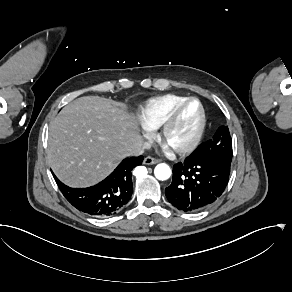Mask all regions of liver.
<instances>
[{
	"instance_id": "liver-1",
	"label": "liver",
	"mask_w": 292,
	"mask_h": 292,
	"mask_svg": "<svg viewBox=\"0 0 292 292\" xmlns=\"http://www.w3.org/2000/svg\"><path fill=\"white\" fill-rule=\"evenodd\" d=\"M140 146L137 124L125 108L87 96L70 103L51 121L47 158L67 185L90 186Z\"/></svg>"
}]
</instances>
